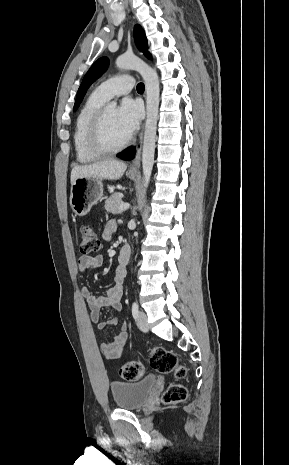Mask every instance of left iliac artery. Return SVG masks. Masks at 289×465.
<instances>
[{"instance_id": "left-iliac-artery-1", "label": "left iliac artery", "mask_w": 289, "mask_h": 465, "mask_svg": "<svg viewBox=\"0 0 289 465\" xmlns=\"http://www.w3.org/2000/svg\"><path fill=\"white\" fill-rule=\"evenodd\" d=\"M138 313H139L138 304H137V302H133V304H132V315H133V317H134L135 319L137 318Z\"/></svg>"}]
</instances>
